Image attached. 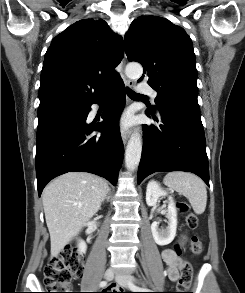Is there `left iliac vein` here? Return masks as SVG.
Listing matches in <instances>:
<instances>
[{"label":"left iliac vein","instance_id":"1","mask_svg":"<svg viewBox=\"0 0 245 293\" xmlns=\"http://www.w3.org/2000/svg\"><path fill=\"white\" fill-rule=\"evenodd\" d=\"M115 281L122 287H128L130 281H135V278L130 274H117Z\"/></svg>","mask_w":245,"mask_h":293}]
</instances>
